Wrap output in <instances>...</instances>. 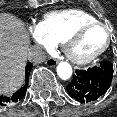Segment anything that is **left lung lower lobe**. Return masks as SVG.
<instances>
[{
    "label": "left lung lower lobe",
    "instance_id": "1",
    "mask_svg": "<svg viewBox=\"0 0 117 117\" xmlns=\"http://www.w3.org/2000/svg\"><path fill=\"white\" fill-rule=\"evenodd\" d=\"M113 64L105 61L100 66L76 70L67 92L75 100L85 103L102 97L111 85Z\"/></svg>",
    "mask_w": 117,
    "mask_h": 117
}]
</instances>
